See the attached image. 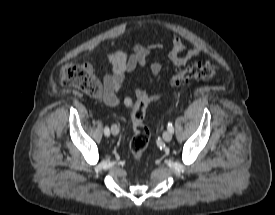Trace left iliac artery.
Wrapping results in <instances>:
<instances>
[{
	"label": "left iliac artery",
	"mask_w": 275,
	"mask_h": 215,
	"mask_svg": "<svg viewBox=\"0 0 275 215\" xmlns=\"http://www.w3.org/2000/svg\"><path fill=\"white\" fill-rule=\"evenodd\" d=\"M167 128H168V130L171 131V132L174 131L173 125H172V123H170V122L168 123Z\"/></svg>",
	"instance_id": "44dca946"
}]
</instances>
